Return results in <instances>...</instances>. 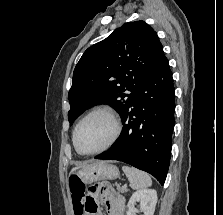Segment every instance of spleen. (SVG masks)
<instances>
[{
	"mask_svg": "<svg viewBox=\"0 0 223 215\" xmlns=\"http://www.w3.org/2000/svg\"><path fill=\"white\" fill-rule=\"evenodd\" d=\"M122 169L126 173L133 189H143V187L152 185L151 177L145 171L136 169V167H128V165H123Z\"/></svg>",
	"mask_w": 223,
	"mask_h": 215,
	"instance_id": "spleen-1",
	"label": "spleen"
}]
</instances>
